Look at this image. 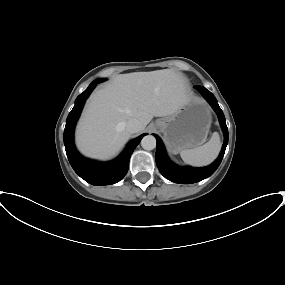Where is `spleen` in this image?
Segmentation results:
<instances>
[{
  "instance_id": "1",
  "label": "spleen",
  "mask_w": 285,
  "mask_h": 285,
  "mask_svg": "<svg viewBox=\"0 0 285 285\" xmlns=\"http://www.w3.org/2000/svg\"><path fill=\"white\" fill-rule=\"evenodd\" d=\"M221 149V142L218 133L214 132L211 139L203 146L182 150V160L192 166L202 167L212 163L218 156Z\"/></svg>"
}]
</instances>
